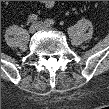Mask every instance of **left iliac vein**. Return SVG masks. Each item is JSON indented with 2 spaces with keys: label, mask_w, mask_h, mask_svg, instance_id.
I'll list each match as a JSON object with an SVG mask.
<instances>
[{
  "label": "left iliac vein",
  "mask_w": 109,
  "mask_h": 109,
  "mask_svg": "<svg viewBox=\"0 0 109 109\" xmlns=\"http://www.w3.org/2000/svg\"><path fill=\"white\" fill-rule=\"evenodd\" d=\"M38 26L39 29H43V30H53V26L46 23V22H38L36 24Z\"/></svg>",
  "instance_id": "4c4485c4"
}]
</instances>
